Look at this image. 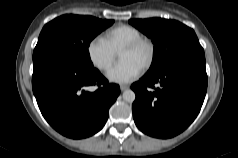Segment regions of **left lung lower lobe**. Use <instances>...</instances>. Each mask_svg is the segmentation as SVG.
<instances>
[{"label":"left lung lower lobe","instance_id":"obj_1","mask_svg":"<svg viewBox=\"0 0 238 158\" xmlns=\"http://www.w3.org/2000/svg\"><path fill=\"white\" fill-rule=\"evenodd\" d=\"M156 83L160 88L154 87ZM131 88L136 94L132 111L137 127L152 137H174L194 121L203 104L207 91L205 55L177 59L155 74H145Z\"/></svg>","mask_w":238,"mask_h":158}]
</instances>
